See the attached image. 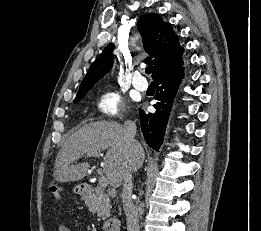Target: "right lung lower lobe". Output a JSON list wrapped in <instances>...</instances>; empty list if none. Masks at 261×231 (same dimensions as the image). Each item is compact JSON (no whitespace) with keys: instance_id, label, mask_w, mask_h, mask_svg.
I'll list each match as a JSON object with an SVG mask.
<instances>
[{"instance_id":"right-lung-lower-lobe-1","label":"right lung lower lobe","mask_w":261,"mask_h":231,"mask_svg":"<svg viewBox=\"0 0 261 231\" xmlns=\"http://www.w3.org/2000/svg\"><path fill=\"white\" fill-rule=\"evenodd\" d=\"M183 76L184 67H181L156 78L154 81L156 82L157 93L154 98L158 102L153 105L156 112L154 114H146L143 110L139 111L144 139L156 151L159 150L163 142L173 100Z\"/></svg>"}]
</instances>
